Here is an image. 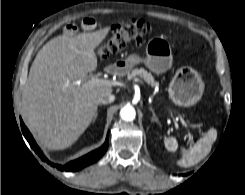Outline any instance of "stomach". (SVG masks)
I'll return each mask as SVG.
<instances>
[{"mask_svg": "<svg viewBox=\"0 0 245 195\" xmlns=\"http://www.w3.org/2000/svg\"><path fill=\"white\" fill-rule=\"evenodd\" d=\"M144 62L154 73H163L171 65L172 55L168 42L154 39L148 44L146 58L133 53L124 60H117L112 68L120 76L128 74L131 69ZM204 83L196 70L189 66L178 69L173 76L168 92L170 99L179 106L189 107L196 104L202 97Z\"/></svg>", "mask_w": 245, "mask_h": 195, "instance_id": "stomach-1", "label": "stomach"}]
</instances>
